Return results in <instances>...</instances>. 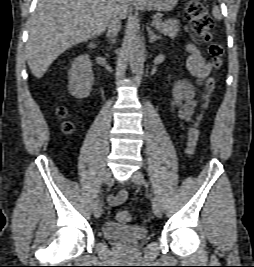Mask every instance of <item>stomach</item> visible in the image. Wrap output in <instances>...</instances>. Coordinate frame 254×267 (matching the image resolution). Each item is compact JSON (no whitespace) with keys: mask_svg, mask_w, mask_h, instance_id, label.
Instances as JSON below:
<instances>
[{"mask_svg":"<svg viewBox=\"0 0 254 267\" xmlns=\"http://www.w3.org/2000/svg\"><path fill=\"white\" fill-rule=\"evenodd\" d=\"M179 0H141L136 3V7L145 11L167 12L172 10Z\"/></svg>","mask_w":254,"mask_h":267,"instance_id":"obj_1","label":"stomach"}]
</instances>
